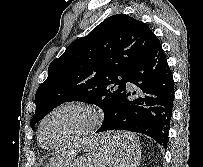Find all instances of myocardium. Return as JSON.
Segmentation results:
<instances>
[{
	"instance_id": "1",
	"label": "myocardium",
	"mask_w": 203,
	"mask_h": 167,
	"mask_svg": "<svg viewBox=\"0 0 203 167\" xmlns=\"http://www.w3.org/2000/svg\"><path fill=\"white\" fill-rule=\"evenodd\" d=\"M66 109H77L85 112L89 118L88 124L80 131H78L76 134L73 136L59 142L53 145H47L44 142L43 139V131H44V126L47 123V121L53 117L55 114L66 110ZM101 117L99 112L91 105L84 103V102H66L63 104H60L50 110L41 120L39 124V129H38V136H39V141L43 146L49 147V148H58L62 147L68 144H71L73 142H77L79 140H82L89 135H91L93 132L96 131L98 126L100 125Z\"/></svg>"
}]
</instances>
